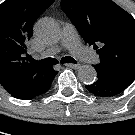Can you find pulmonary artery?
<instances>
[{
	"label": "pulmonary artery",
	"mask_w": 135,
	"mask_h": 135,
	"mask_svg": "<svg viewBox=\"0 0 135 135\" xmlns=\"http://www.w3.org/2000/svg\"><path fill=\"white\" fill-rule=\"evenodd\" d=\"M62 46L67 48L75 57L88 63H95L98 56L90 49L84 48L77 37V32L73 24L66 23L62 30ZM60 52L59 47L48 49L43 56L48 57Z\"/></svg>",
	"instance_id": "1"
}]
</instances>
